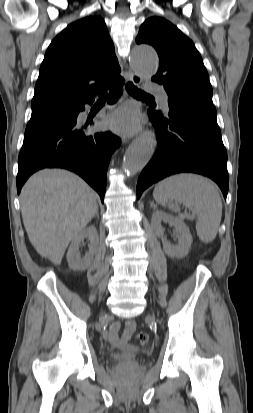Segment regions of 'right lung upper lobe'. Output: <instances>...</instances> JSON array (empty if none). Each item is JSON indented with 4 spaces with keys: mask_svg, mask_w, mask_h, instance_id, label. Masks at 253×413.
<instances>
[{
    "mask_svg": "<svg viewBox=\"0 0 253 413\" xmlns=\"http://www.w3.org/2000/svg\"><path fill=\"white\" fill-rule=\"evenodd\" d=\"M120 66L104 20L71 23L48 47L32 99V115L77 109L119 76Z\"/></svg>",
    "mask_w": 253,
    "mask_h": 413,
    "instance_id": "cb5924a9",
    "label": "right lung upper lobe"
}]
</instances>
